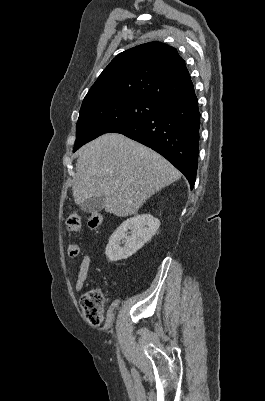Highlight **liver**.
Returning a JSON list of instances; mask_svg holds the SVG:
<instances>
[{"instance_id": "6515ba94", "label": "liver", "mask_w": 265, "mask_h": 401, "mask_svg": "<svg viewBox=\"0 0 265 401\" xmlns=\"http://www.w3.org/2000/svg\"><path fill=\"white\" fill-rule=\"evenodd\" d=\"M181 172L148 146L118 132H107L84 144L72 184L76 205L104 196L106 213L136 215L149 196L175 182Z\"/></svg>"}]
</instances>
